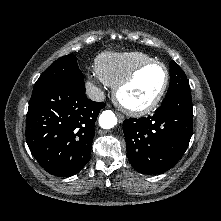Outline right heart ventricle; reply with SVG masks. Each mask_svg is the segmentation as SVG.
I'll use <instances>...</instances> for the list:
<instances>
[{"label": "right heart ventricle", "instance_id": "1", "mask_svg": "<svg viewBox=\"0 0 221 221\" xmlns=\"http://www.w3.org/2000/svg\"><path fill=\"white\" fill-rule=\"evenodd\" d=\"M153 60L142 52H105L95 61L98 78L109 86H116L138 65Z\"/></svg>", "mask_w": 221, "mask_h": 221}]
</instances>
